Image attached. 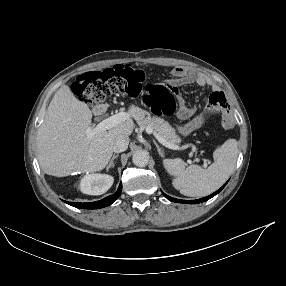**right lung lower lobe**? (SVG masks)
<instances>
[{
  "instance_id": "obj_1",
  "label": "right lung lower lobe",
  "mask_w": 286,
  "mask_h": 286,
  "mask_svg": "<svg viewBox=\"0 0 286 286\" xmlns=\"http://www.w3.org/2000/svg\"><path fill=\"white\" fill-rule=\"evenodd\" d=\"M122 190V184L119 185V188L116 193L96 202L92 203H73V202H67V204L74 206L76 208H82V209H99L103 207H107L111 205L121 194Z\"/></svg>"
}]
</instances>
